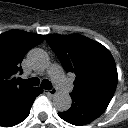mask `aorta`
I'll list each match as a JSON object with an SVG mask.
<instances>
[{"label": "aorta", "instance_id": "762f6f07", "mask_svg": "<svg viewBox=\"0 0 128 128\" xmlns=\"http://www.w3.org/2000/svg\"><path fill=\"white\" fill-rule=\"evenodd\" d=\"M28 60L36 68H44L48 64V56L42 49H32L28 53ZM72 105L71 96L66 92H58L53 97V106L59 112H66Z\"/></svg>", "mask_w": 128, "mask_h": 128}]
</instances>
